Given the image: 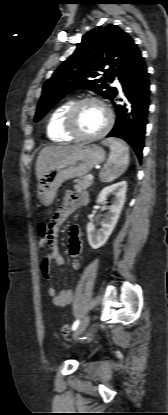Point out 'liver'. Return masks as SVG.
Masks as SVG:
<instances>
[{"instance_id": "liver-1", "label": "liver", "mask_w": 168, "mask_h": 415, "mask_svg": "<svg viewBox=\"0 0 168 415\" xmlns=\"http://www.w3.org/2000/svg\"><path fill=\"white\" fill-rule=\"evenodd\" d=\"M80 145H58L43 148L36 161V176L40 180L49 167L62 157L76 150Z\"/></svg>"}]
</instances>
